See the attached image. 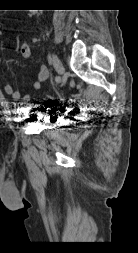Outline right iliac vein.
Listing matches in <instances>:
<instances>
[{
  "instance_id": "right-iliac-vein-1",
  "label": "right iliac vein",
  "mask_w": 138,
  "mask_h": 253,
  "mask_svg": "<svg viewBox=\"0 0 138 253\" xmlns=\"http://www.w3.org/2000/svg\"><path fill=\"white\" fill-rule=\"evenodd\" d=\"M52 61H53V65H54L56 72L59 75H61L64 72V66H63L62 61L59 59V57L57 55H53Z\"/></svg>"
}]
</instances>
